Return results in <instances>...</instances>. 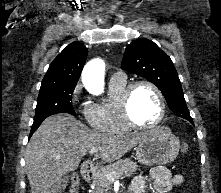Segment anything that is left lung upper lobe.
Here are the masks:
<instances>
[{"instance_id":"left-lung-upper-lobe-1","label":"left lung upper lobe","mask_w":221,"mask_h":193,"mask_svg":"<svg viewBox=\"0 0 221 193\" xmlns=\"http://www.w3.org/2000/svg\"><path fill=\"white\" fill-rule=\"evenodd\" d=\"M121 69L142 76L155 84L163 93L171 111L193 122L177 71L170 57L154 42L146 38L131 42L125 50Z\"/></svg>"}]
</instances>
